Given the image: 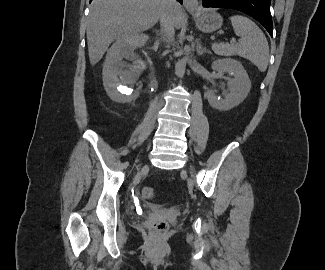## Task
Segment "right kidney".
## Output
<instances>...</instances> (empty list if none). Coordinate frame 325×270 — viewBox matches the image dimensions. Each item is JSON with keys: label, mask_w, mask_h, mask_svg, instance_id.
Returning <instances> with one entry per match:
<instances>
[{"label": "right kidney", "mask_w": 325, "mask_h": 270, "mask_svg": "<svg viewBox=\"0 0 325 270\" xmlns=\"http://www.w3.org/2000/svg\"><path fill=\"white\" fill-rule=\"evenodd\" d=\"M147 40V35L140 34L136 38L117 40L109 49L102 74L105 90L113 101L127 103L138 97L145 73L152 71L143 54L136 52Z\"/></svg>", "instance_id": "obj_1"}]
</instances>
